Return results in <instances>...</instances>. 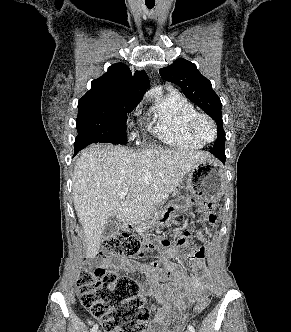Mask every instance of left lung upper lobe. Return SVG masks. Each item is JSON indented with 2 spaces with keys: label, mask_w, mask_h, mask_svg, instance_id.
<instances>
[{
  "label": "left lung upper lobe",
  "mask_w": 291,
  "mask_h": 332,
  "mask_svg": "<svg viewBox=\"0 0 291 332\" xmlns=\"http://www.w3.org/2000/svg\"><path fill=\"white\" fill-rule=\"evenodd\" d=\"M164 80L178 85L184 95L213 120L218 128V137L212 149H224L225 132L221 113V101L213 91L211 82L205 78L196 68L195 64L179 58L173 64L160 69Z\"/></svg>",
  "instance_id": "left-lung-upper-lobe-1"
}]
</instances>
